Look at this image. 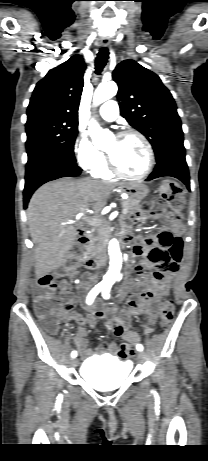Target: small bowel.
I'll list each match as a JSON object with an SVG mask.
<instances>
[{
    "label": "small bowel",
    "instance_id": "1",
    "mask_svg": "<svg viewBox=\"0 0 208 461\" xmlns=\"http://www.w3.org/2000/svg\"><path fill=\"white\" fill-rule=\"evenodd\" d=\"M146 215L145 209H132L131 214H123L122 220L125 222L124 227L129 228L130 222L141 223ZM173 229L154 230L150 237H141L136 241L134 254L141 258L140 263L135 267V274L129 281L122 283L118 290L117 296L125 298L128 294V306L126 310L114 313L112 309L102 306L101 304H85L89 313L81 315L72 312L81 302V295H75L70 291V283L62 281L60 283V298L63 301L64 311L59 314L62 323L70 320L78 325L76 332L73 334V341L77 349L84 357H91L95 354L109 352L121 359L129 356L121 352L113 342L103 343L95 349L88 347L87 330L85 326L94 327L99 318L107 317V327L115 335L121 336L124 340L140 341L138 334L129 330L130 321L133 316L144 315L146 320L154 323L157 319V303L159 297L165 295L173 283L174 278L180 270L181 263H184L187 255V244L184 235L181 234L180 225L172 223ZM150 245L152 250L165 251H143L144 246ZM69 263H62L61 268L67 271L66 278L73 280L78 276L79 257L69 256ZM151 270V273L145 274L143 269Z\"/></svg>",
    "mask_w": 208,
    "mask_h": 461
}]
</instances>
